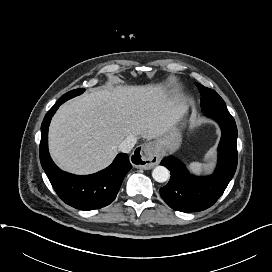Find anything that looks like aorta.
<instances>
[{
	"mask_svg": "<svg viewBox=\"0 0 272 272\" xmlns=\"http://www.w3.org/2000/svg\"><path fill=\"white\" fill-rule=\"evenodd\" d=\"M152 177L156 182H166L170 177V171L164 166H156L152 171Z\"/></svg>",
	"mask_w": 272,
	"mask_h": 272,
	"instance_id": "obj_1",
	"label": "aorta"
}]
</instances>
